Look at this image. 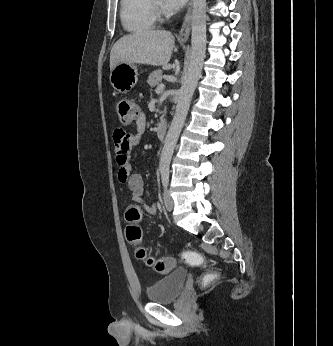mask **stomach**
<instances>
[{
	"label": "stomach",
	"instance_id": "0dacf381",
	"mask_svg": "<svg viewBox=\"0 0 333 346\" xmlns=\"http://www.w3.org/2000/svg\"><path fill=\"white\" fill-rule=\"evenodd\" d=\"M138 70L134 64L119 63L110 73V83L119 93L129 92L137 83Z\"/></svg>",
	"mask_w": 333,
	"mask_h": 346
}]
</instances>
